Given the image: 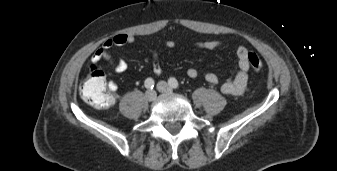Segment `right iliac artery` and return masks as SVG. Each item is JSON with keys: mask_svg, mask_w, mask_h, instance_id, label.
Here are the masks:
<instances>
[{"mask_svg": "<svg viewBox=\"0 0 337 171\" xmlns=\"http://www.w3.org/2000/svg\"><path fill=\"white\" fill-rule=\"evenodd\" d=\"M144 85L147 89H153L154 87V80L152 78H147L144 82Z\"/></svg>", "mask_w": 337, "mask_h": 171, "instance_id": "obj_1", "label": "right iliac artery"}]
</instances>
